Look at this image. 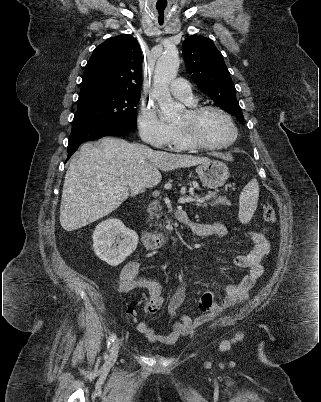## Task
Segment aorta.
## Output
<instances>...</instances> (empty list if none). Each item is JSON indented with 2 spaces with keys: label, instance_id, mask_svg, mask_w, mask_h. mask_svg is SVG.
Returning <instances> with one entry per match:
<instances>
[{
  "label": "aorta",
  "instance_id": "1",
  "mask_svg": "<svg viewBox=\"0 0 321 402\" xmlns=\"http://www.w3.org/2000/svg\"><path fill=\"white\" fill-rule=\"evenodd\" d=\"M179 69V56L176 50L165 51L157 60L152 95L161 109L160 118L169 120L179 116L184 107L175 102L169 92V84Z\"/></svg>",
  "mask_w": 321,
  "mask_h": 402
}]
</instances>
